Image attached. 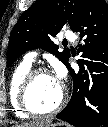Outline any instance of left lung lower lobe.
Here are the masks:
<instances>
[{"mask_svg":"<svg viewBox=\"0 0 108 127\" xmlns=\"http://www.w3.org/2000/svg\"><path fill=\"white\" fill-rule=\"evenodd\" d=\"M72 31L84 39L79 52L85 59L79 60L78 72L66 65L73 94L56 117L76 127H108V4L104 0H84ZM97 70L100 74L94 76Z\"/></svg>","mask_w":108,"mask_h":127,"instance_id":"0a47b994","label":"left lung lower lobe"}]
</instances>
